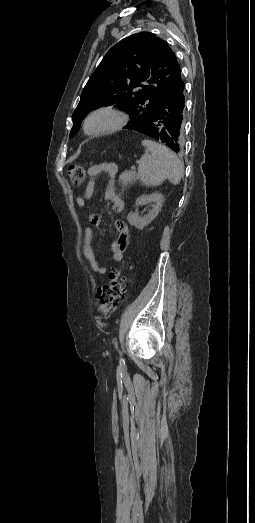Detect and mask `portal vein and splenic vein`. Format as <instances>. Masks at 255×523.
<instances>
[{
	"instance_id": "portal-vein-and-splenic-vein-1",
	"label": "portal vein and splenic vein",
	"mask_w": 255,
	"mask_h": 523,
	"mask_svg": "<svg viewBox=\"0 0 255 523\" xmlns=\"http://www.w3.org/2000/svg\"><path fill=\"white\" fill-rule=\"evenodd\" d=\"M130 172L132 174H135L137 172V169L135 168V166L130 169Z\"/></svg>"
}]
</instances>
